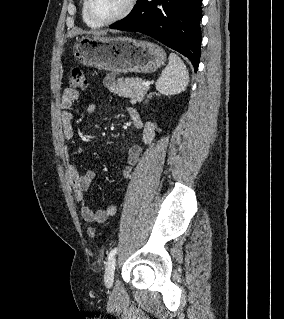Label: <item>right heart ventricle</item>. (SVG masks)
I'll list each match as a JSON object with an SVG mask.
<instances>
[{"mask_svg":"<svg viewBox=\"0 0 284 319\" xmlns=\"http://www.w3.org/2000/svg\"><path fill=\"white\" fill-rule=\"evenodd\" d=\"M81 17L83 22L90 28H98L100 27L99 25L93 23L86 15L85 13V0L82 1V5H81Z\"/></svg>","mask_w":284,"mask_h":319,"instance_id":"1","label":"right heart ventricle"}]
</instances>
